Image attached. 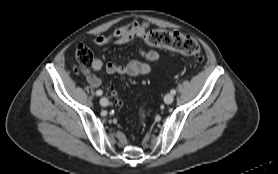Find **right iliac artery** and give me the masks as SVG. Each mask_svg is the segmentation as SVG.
Masks as SVG:
<instances>
[{
	"mask_svg": "<svg viewBox=\"0 0 278 174\" xmlns=\"http://www.w3.org/2000/svg\"><path fill=\"white\" fill-rule=\"evenodd\" d=\"M96 94H97L98 96H101V95L103 94V92H102V90H97V91H96Z\"/></svg>",
	"mask_w": 278,
	"mask_h": 174,
	"instance_id": "82829eb1",
	"label": "right iliac artery"
}]
</instances>
